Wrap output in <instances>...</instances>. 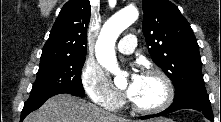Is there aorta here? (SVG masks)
Segmentation results:
<instances>
[{
	"label": "aorta",
	"mask_w": 221,
	"mask_h": 122,
	"mask_svg": "<svg viewBox=\"0 0 221 122\" xmlns=\"http://www.w3.org/2000/svg\"><path fill=\"white\" fill-rule=\"evenodd\" d=\"M138 10L129 6L114 14L102 27L96 42L98 62L114 77L116 85L126 82L125 73L118 67L114 46L118 36L138 18Z\"/></svg>",
	"instance_id": "obj_1"
}]
</instances>
